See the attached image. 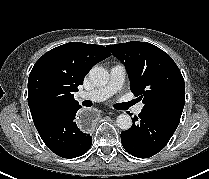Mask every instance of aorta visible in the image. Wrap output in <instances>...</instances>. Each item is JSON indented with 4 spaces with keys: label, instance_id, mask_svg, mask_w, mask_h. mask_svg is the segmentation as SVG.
<instances>
[{
    "label": "aorta",
    "instance_id": "aorta-1",
    "mask_svg": "<svg viewBox=\"0 0 209 179\" xmlns=\"http://www.w3.org/2000/svg\"><path fill=\"white\" fill-rule=\"evenodd\" d=\"M89 79L96 86H104L109 80V73L105 68L95 66L89 72ZM116 123L120 129L128 130L132 126V119L128 114H120L116 118Z\"/></svg>",
    "mask_w": 209,
    "mask_h": 179
}]
</instances>
